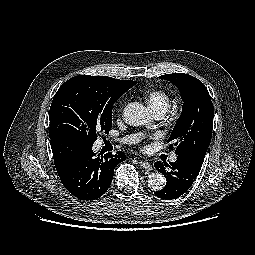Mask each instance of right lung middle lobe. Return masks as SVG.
<instances>
[{"mask_svg": "<svg viewBox=\"0 0 255 255\" xmlns=\"http://www.w3.org/2000/svg\"><path fill=\"white\" fill-rule=\"evenodd\" d=\"M136 82L107 76L78 75L55 94L49 113L50 139L73 138L93 144L112 126L113 104Z\"/></svg>", "mask_w": 255, "mask_h": 255, "instance_id": "1", "label": "right lung middle lobe"}]
</instances>
